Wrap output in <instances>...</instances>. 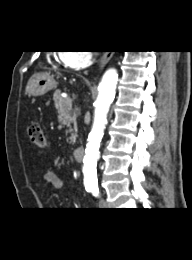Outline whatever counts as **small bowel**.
Here are the masks:
<instances>
[{"instance_id": "c3829d8e", "label": "small bowel", "mask_w": 192, "mask_h": 260, "mask_svg": "<svg viewBox=\"0 0 192 260\" xmlns=\"http://www.w3.org/2000/svg\"><path fill=\"white\" fill-rule=\"evenodd\" d=\"M44 182L52 189L61 188L63 184L61 177L52 168L45 172Z\"/></svg>"}]
</instances>
